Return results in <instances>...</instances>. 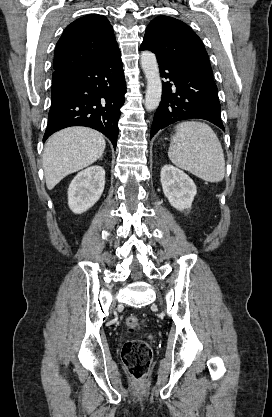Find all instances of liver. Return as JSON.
<instances>
[{
    "label": "liver",
    "mask_w": 272,
    "mask_h": 417,
    "mask_svg": "<svg viewBox=\"0 0 272 417\" xmlns=\"http://www.w3.org/2000/svg\"><path fill=\"white\" fill-rule=\"evenodd\" d=\"M105 146L103 135L87 127H70L53 134L43 151L47 188L52 190L67 175L96 162Z\"/></svg>",
    "instance_id": "6515ba94"
}]
</instances>
